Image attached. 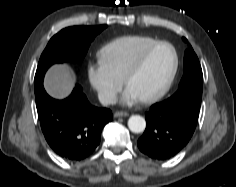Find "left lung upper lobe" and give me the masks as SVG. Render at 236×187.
<instances>
[{
  "label": "left lung upper lobe",
  "instance_id": "obj_1",
  "mask_svg": "<svg viewBox=\"0 0 236 187\" xmlns=\"http://www.w3.org/2000/svg\"><path fill=\"white\" fill-rule=\"evenodd\" d=\"M183 40L187 42L185 38ZM202 88V69L197 55L189 44L184 54V75L178 86V91L164 102L169 105H174L178 102H187L200 107Z\"/></svg>",
  "mask_w": 236,
  "mask_h": 187
}]
</instances>
